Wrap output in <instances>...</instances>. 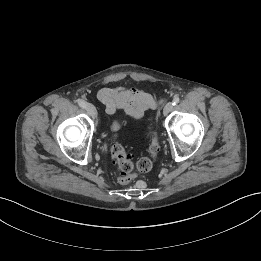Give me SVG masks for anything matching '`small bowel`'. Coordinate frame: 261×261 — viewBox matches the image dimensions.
Masks as SVG:
<instances>
[{"label": "small bowel", "mask_w": 261, "mask_h": 261, "mask_svg": "<svg viewBox=\"0 0 261 261\" xmlns=\"http://www.w3.org/2000/svg\"><path fill=\"white\" fill-rule=\"evenodd\" d=\"M97 97L105 105V110L112 115L118 110L139 119L153 105L149 94L136 88L105 87L99 90Z\"/></svg>", "instance_id": "small-bowel-1"}]
</instances>
